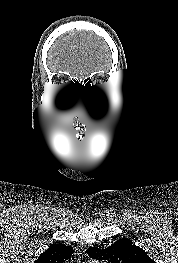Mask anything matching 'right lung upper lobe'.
<instances>
[{
  "mask_svg": "<svg viewBox=\"0 0 178 263\" xmlns=\"http://www.w3.org/2000/svg\"><path fill=\"white\" fill-rule=\"evenodd\" d=\"M72 248L63 244H52L50 248L40 254L34 263H64L70 258Z\"/></svg>",
  "mask_w": 178,
  "mask_h": 263,
  "instance_id": "right-lung-upper-lobe-1",
  "label": "right lung upper lobe"
}]
</instances>
